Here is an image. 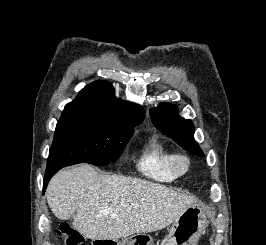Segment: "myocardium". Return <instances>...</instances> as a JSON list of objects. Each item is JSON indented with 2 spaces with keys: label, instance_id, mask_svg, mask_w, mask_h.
Wrapping results in <instances>:
<instances>
[{
  "label": "myocardium",
  "instance_id": "myocardium-1",
  "mask_svg": "<svg viewBox=\"0 0 266 245\" xmlns=\"http://www.w3.org/2000/svg\"><path fill=\"white\" fill-rule=\"evenodd\" d=\"M173 169L178 176L187 175L192 168V158L184 151H177L173 154Z\"/></svg>",
  "mask_w": 266,
  "mask_h": 245
}]
</instances>
